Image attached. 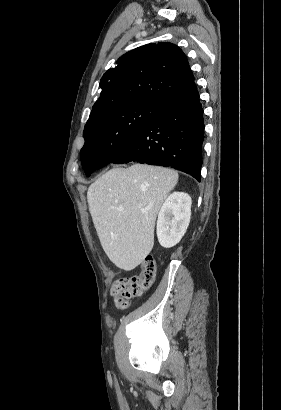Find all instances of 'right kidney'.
I'll return each instance as SVG.
<instances>
[{
	"instance_id": "right-kidney-1",
	"label": "right kidney",
	"mask_w": 281,
	"mask_h": 410,
	"mask_svg": "<svg viewBox=\"0 0 281 410\" xmlns=\"http://www.w3.org/2000/svg\"><path fill=\"white\" fill-rule=\"evenodd\" d=\"M191 197L173 192L162 205L157 220V237L164 248L175 246L185 234L191 216Z\"/></svg>"
}]
</instances>
